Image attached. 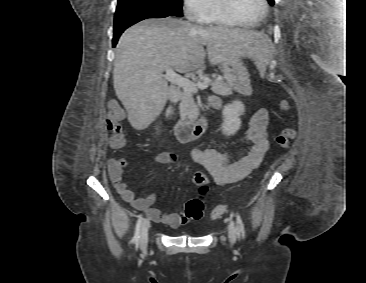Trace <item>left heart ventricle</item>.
I'll return each mask as SVG.
<instances>
[{"mask_svg": "<svg viewBox=\"0 0 366 283\" xmlns=\"http://www.w3.org/2000/svg\"><path fill=\"white\" fill-rule=\"evenodd\" d=\"M234 7L238 17L246 23L255 22L264 10L261 0H234Z\"/></svg>", "mask_w": 366, "mask_h": 283, "instance_id": "1", "label": "left heart ventricle"}]
</instances>
